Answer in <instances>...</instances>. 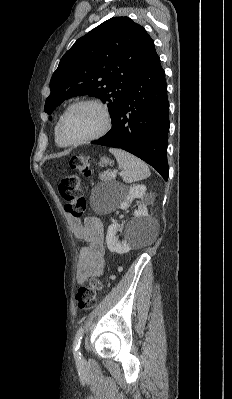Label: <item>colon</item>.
<instances>
[{"instance_id": "colon-1", "label": "colon", "mask_w": 232, "mask_h": 399, "mask_svg": "<svg viewBox=\"0 0 232 399\" xmlns=\"http://www.w3.org/2000/svg\"><path fill=\"white\" fill-rule=\"evenodd\" d=\"M91 171V157H86L85 154L81 156H74V172L77 175H67V180H62V185L59 186V191L69 196H82V172ZM66 212H69L71 218H82L83 212H87V198H70V203H65ZM91 281L94 284L87 283V289H77L76 300L81 301L77 304L78 308L84 312H95V306H98V299H101V287H99V277L91 276ZM102 285H107V276H102Z\"/></svg>"}]
</instances>
